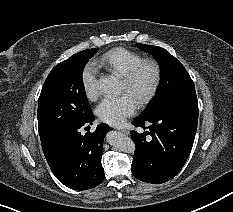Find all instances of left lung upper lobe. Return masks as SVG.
Segmentation results:
<instances>
[{"label":"left lung upper lobe","instance_id":"1","mask_svg":"<svg viewBox=\"0 0 233 212\" xmlns=\"http://www.w3.org/2000/svg\"><path fill=\"white\" fill-rule=\"evenodd\" d=\"M152 53L161 66V82L156 95L143 113L169 105L197 107L195 86L184 66L161 47L137 43Z\"/></svg>","mask_w":233,"mask_h":212}]
</instances>
